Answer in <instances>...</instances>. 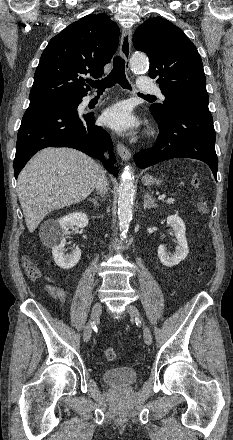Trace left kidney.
Wrapping results in <instances>:
<instances>
[{"label": "left kidney", "instance_id": "left-kidney-1", "mask_svg": "<svg viewBox=\"0 0 233 440\" xmlns=\"http://www.w3.org/2000/svg\"><path fill=\"white\" fill-rule=\"evenodd\" d=\"M167 224L173 229L177 246L175 248L174 254H169L166 252L165 245H160L158 247V257L161 263L167 267H173L178 265L182 260H184L188 253V244L186 240V227L183 220L177 215H170L167 217Z\"/></svg>", "mask_w": 233, "mask_h": 440}]
</instances>
